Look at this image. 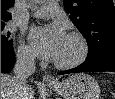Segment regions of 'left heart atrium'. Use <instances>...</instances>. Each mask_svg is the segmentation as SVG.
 Segmentation results:
<instances>
[{"label": "left heart atrium", "instance_id": "39dd6f15", "mask_svg": "<svg viewBox=\"0 0 115 99\" xmlns=\"http://www.w3.org/2000/svg\"><path fill=\"white\" fill-rule=\"evenodd\" d=\"M66 37L60 26H47L32 28L28 39L36 55L48 61H55Z\"/></svg>", "mask_w": 115, "mask_h": 99}]
</instances>
